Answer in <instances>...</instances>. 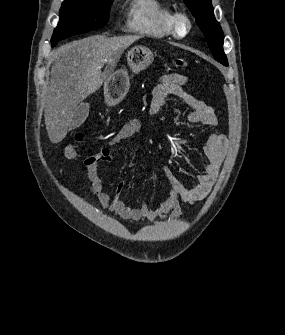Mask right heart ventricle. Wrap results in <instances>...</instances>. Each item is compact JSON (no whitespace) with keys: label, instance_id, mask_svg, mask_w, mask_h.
<instances>
[{"label":"right heart ventricle","instance_id":"e07e8e85","mask_svg":"<svg viewBox=\"0 0 285 335\" xmlns=\"http://www.w3.org/2000/svg\"><path fill=\"white\" fill-rule=\"evenodd\" d=\"M171 16L162 1H138L132 26L143 37L162 39L171 32Z\"/></svg>","mask_w":285,"mask_h":335}]
</instances>
